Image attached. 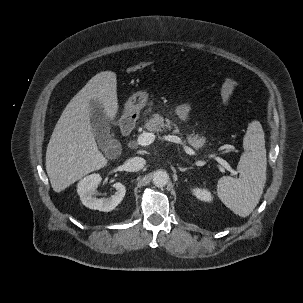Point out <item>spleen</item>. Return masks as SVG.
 Instances as JSON below:
<instances>
[{
    "mask_svg": "<svg viewBox=\"0 0 303 303\" xmlns=\"http://www.w3.org/2000/svg\"><path fill=\"white\" fill-rule=\"evenodd\" d=\"M244 152L238 163L239 178L221 177L217 195L236 215L249 216L263 194L266 182V148L264 131L259 121H252L243 139Z\"/></svg>",
    "mask_w": 303,
    "mask_h": 303,
    "instance_id": "1",
    "label": "spleen"
}]
</instances>
